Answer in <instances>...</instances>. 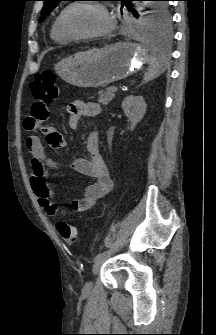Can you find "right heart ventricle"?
Instances as JSON below:
<instances>
[{
  "mask_svg": "<svg viewBox=\"0 0 216 335\" xmlns=\"http://www.w3.org/2000/svg\"><path fill=\"white\" fill-rule=\"evenodd\" d=\"M65 9V8H64ZM62 9L58 15L56 16V18L54 19L53 23H52V26H51V30H50V36L51 38L57 42V43H60V44H64V43H67L69 42L71 39L67 38L60 30L59 28V18H60V15L62 13V11L64 10Z\"/></svg>",
  "mask_w": 216,
  "mask_h": 335,
  "instance_id": "e07e8e85",
  "label": "right heart ventricle"
}]
</instances>
